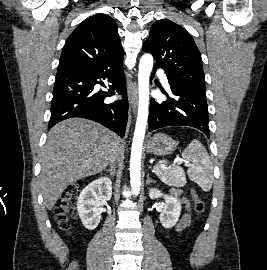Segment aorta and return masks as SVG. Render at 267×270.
Returning <instances> with one entry per match:
<instances>
[{
	"label": "aorta",
	"instance_id": "762f6f07",
	"mask_svg": "<svg viewBox=\"0 0 267 270\" xmlns=\"http://www.w3.org/2000/svg\"><path fill=\"white\" fill-rule=\"evenodd\" d=\"M153 56L144 54L139 63L138 71V113L133 136L130 159V183L134 195L141 189V156L145 137L149 109V78L153 68Z\"/></svg>",
	"mask_w": 267,
	"mask_h": 270
}]
</instances>
